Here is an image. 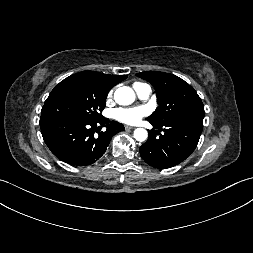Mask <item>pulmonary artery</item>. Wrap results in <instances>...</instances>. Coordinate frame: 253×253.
Returning a JSON list of instances; mask_svg holds the SVG:
<instances>
[{"instance_id": "1", "label": "pulmonary artery", "mask_w": 253, "mask_h": 253, "mask_svg": "<svg viewBox=\"0 0 253 253\" xmlns=\"http://www.w3.org/2000/svg\"><path fill=\"white\" fill-rule=\"evenodd\" d=\"M137 95L141 99H147L151 94V88L149 85L145 84L136 89Z\"/></svg>"}]
</instances>
